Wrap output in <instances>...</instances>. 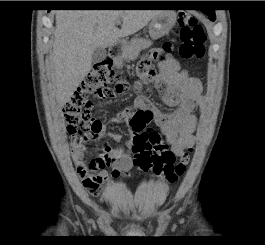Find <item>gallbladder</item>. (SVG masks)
I'll list each match as a JSON object with an SVG mask.
<instances>
[{"label": "gallbladder", "instance_id": "obj_1", "mask_svg": "<svg viewBox=\"0 0 265 245\" xmlns=\"http://www.w3.org/2000/svg\"><path fill=\"white\" fill-rule=\"evenodd\" d=\"M107 52L105 48L97 47L92 54V63L96 64L105 59Z\"/></svg>", "mask_w": 265, "mask_h": 245}]
</instances>
